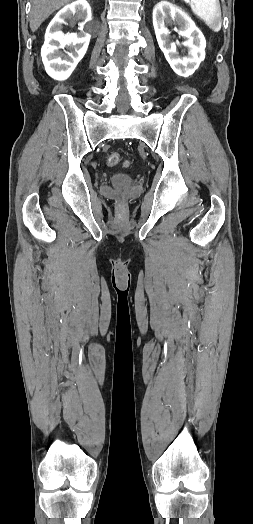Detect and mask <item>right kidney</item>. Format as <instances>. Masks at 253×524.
Listing matches in <instances>:
<instances>
[{"instance_id":"right-kidney-1","label":"right kidney","mask_w":253,"mask_h":524,"mask_svg":"<svg viewBox=\"0 0 253 524\" xmlns=\"http://www.w3.org/2000/svg\"><path fill=\"white\" fill-rule=\"evenodd\" d=\"M72 17L82 21L79 24L80 32L64 34L61 31L62 24H65L66 20ZM91 19V8L88 2L77 0L61 9L50 22L41 49L42 61L50 77L56 80H65L72 74L87 51L91 37L88 33L87 23ZM61 49L64 50V53Z\"/></svg>"}]
</instances>
